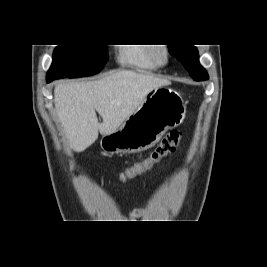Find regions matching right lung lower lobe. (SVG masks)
I'll return each mask as SVG.
<instances>
[{
  "label": "right lung lower lobe",
  "mask_w": 267,
  "mask_h": 267,
  "mask_svg": "<svg viewBox=\"0 0 267 267\" xmlns=\"http://www.w3.org/2000/svg\"><path fill=\"white\" fill-rule=\"evenodd\" d=\"M47 79V83L52 82L53 80H55L54 78H46Z\"/></svg>",
  "instance_id": "obj_1"
}]
</instances>
